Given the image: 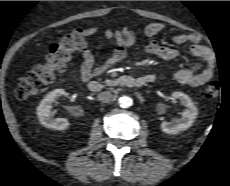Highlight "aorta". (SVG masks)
<instances>
[{"label":"aorta","instance_id":"1","mask_svg":"<svg viewBox=\"0 0 230 186\" xmlns=\"http://www.w3.org/2000/svg\"><path fill=\"white\" fill-rule=\"evenodd\" d=\"M118 102L122 108H129L132 105V99L128 96L120 97Z\"/></svg>","mask_w":230,"mask_h":186}]
</instances>
